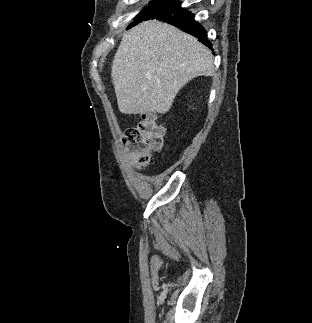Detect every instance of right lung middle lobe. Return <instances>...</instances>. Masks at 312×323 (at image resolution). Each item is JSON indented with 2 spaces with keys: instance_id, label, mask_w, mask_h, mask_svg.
Masks as SVG:
<instances>
[{
  "instance_id": "dd1d6c3e",
  "label": "right lung middle lobe",
  "mask_w": 312,
  "mask_h": 323,
  "mask_svg": "<svg viewBox=\"0 0 312 323\" xmlns=\"http://www.w3.org/2000/svg\"><path fill=\"white\" fill-rule=\"evenodd\" d=\"M181 2L177 0H153L149 7L142 10L135 18V22H133L130 27L142 22L143 20L149 19H160L164 16H168L170 14H174L178 11L183 10L180 7Z\"/></svg>"
}]
</instances>
